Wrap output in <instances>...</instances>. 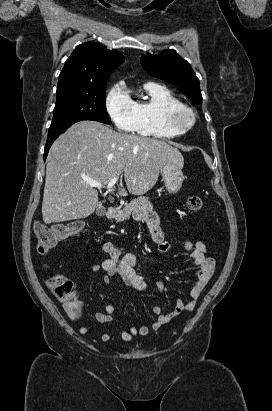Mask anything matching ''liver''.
Instances as JSON below:
<instances>
[{
  "instance_id": "6515ba94",
  "label": "liver",
  "mask_w": 272,
  "mask_h": 411,
  "mask_svg": "<svg viewBox=\"0 0 272 411\" xmlns=\"http://www.w3.org/2000/svg\"><path fill=\"white\" fill-rule=\"evenodd\" d=\"M184 165L182 154L162 140L118 133L94 121L73 124L52 144L42 202L45 224L83 219L98 205L88 181L107 185L124 172L129 193L142 195L157 182L161 165ZM122 186V183H121ZM119 193L126 196L124 188Z\"/></svg>"
}]
</instances>
